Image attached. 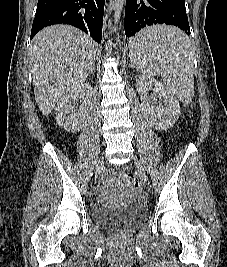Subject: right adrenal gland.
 Segmentation results:
<instances>
[{"label":"right adrenal gland","mask_w":227,"mask_h":267,"mask_svg":"<svg viewBox=\"0 0 227 267\" xmlns=\"http://www.w3.org/2000/svg\"><path fill=\"white\" fill-rule=\"evenodd\" d=\"M95 70H96V67H95V64H94L90 74H93V72H95Z\"/></svg>","instance_id":"obj_1"}]
</instances>
